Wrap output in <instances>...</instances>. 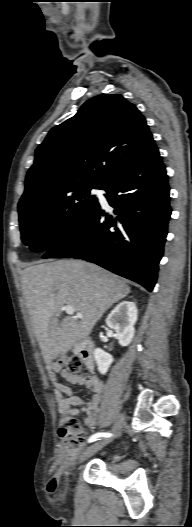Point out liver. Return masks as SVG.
Here are the masks:
<instances>
[{
	"label": "liver",
	"instance_id": "obj_1",
	"mask_svg": "<svg viewBox=\"0 0 192 527\" xmlns=\"http://www.w3.org/2000/svg\"><path fill=\"white\" fill-rule=\"evenodd\" d=\"M25 304L43 359L50 364L79 341L114 303L130 293V287L105 269L80 260H58L21 271ZM70 305L83 318L66 316Z\"/></svg>",
	"mask_w": 192,
	"mask_h": 527
}]
</instances>
